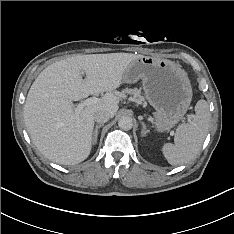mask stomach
Returning <instances> with one entry per match:
<instances>
[{
    "instance_id": "stomach-1",
    "label": "stomach",
    "mask_w": 234,
    "mask_h": 234,
    "mask_svg": "<svg viewBox=\"0 0 234 234\" xmlns=\"http://www.w3.org/2000/svg\"><path fill=\"white\" fill-rule=\"evenodd\" d=\"M142 80L149 104L155 109V127L159 132L170 130L185 115L192 100L187 73L175 62L142 56L124 70L122 81Z\"/></svg>"
}]
</instances>
